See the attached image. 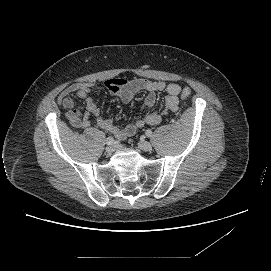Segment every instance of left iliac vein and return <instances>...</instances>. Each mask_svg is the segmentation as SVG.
<instances>
[{
  "label": "left iliac vein",
  "mask_w": 271,
  "mask_h": 271,
  "mask_svg": "<svg viewBox=\"0 0 271 271\" xmlns=\"http://www.w3.org/2000/svg\"><path fill=\"white\" fill-rule=\"evenodd\" d=\"M138 147H139V149H141L143 151H151L152 150V145L149 142L144 141V140H142L138 143Z\"/></svg>",
  "instance_id": "1"
}]
</instances>
